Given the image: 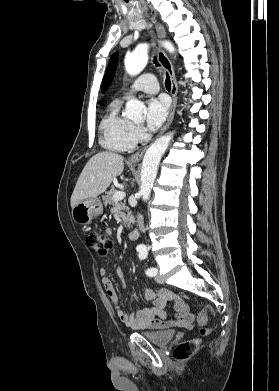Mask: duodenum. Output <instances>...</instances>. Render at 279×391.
I'll return each instance as SVG.
<instances>
[{"label": "duodenum", "instance_id": "410a0bca", "mask_svg": "<svg viewBox=\"0 0 279 391\" xmlns=\"http://www.w3.org/2000/svg\"><path fill=\"white\" fill-rule=\"evenodd\" d=\"M139 236H140V233H139V230H138L137 228H133V229L130 231V233H129V239H130L131 241H136V240H138Z\"/></svg>", "mask_w": 279, "mask_h": 391}]
</instances>
